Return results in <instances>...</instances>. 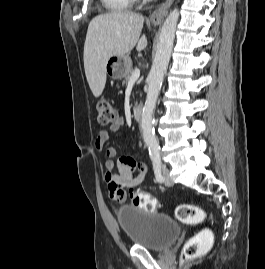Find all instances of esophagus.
I'll use <instances>...</instances> for the list:
<instances>
[{"label": "esophagus", "mask_w": 265, "mask_h": 269, "mask_svg": "<svg viewBox=\"0 0 265 269\" xmlns=\"http://www.w3.org/2000/svg\"><path fill=\"white\" fill-rule=\"evenodd\" d=\"M174 0H166L161 7L156 9L150 16V21L152 23H160L165 15L167 14L170 6L172 5Z\"/></svg>", "instance_id": "obj_1"}]
</instances>
